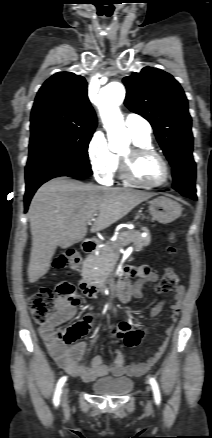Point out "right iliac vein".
Wrapping results in <instances>:
<instances>
[{
  "label": "right iliac vein",
  "mask_w": 212,
  "mask_h": 438,
  "mask_svg": "<svg viewBox=\"0 0 212 438\" xmlns=\"http://www.w3.org/2000/svg\"><path fill=\"white\" fill-rule=\"evenodd\" d=\"M68 396H69V389H68V387H64L62 389V394H61V402H62L63 406L67 405Z\"/></svg>",
  "instance_id": "1"
}]
</instances>
